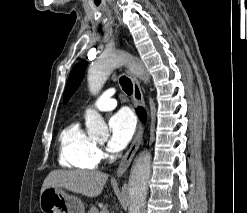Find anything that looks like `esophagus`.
<instances>
[{
  "label": "esophagus",
  "instance_id": "obj_1",
  "mask_svg": "<svg viewBox=\"0 0 247 213\" xmlns=\"http://www.w3.org/2000/svg\"><path fill=\"white\" fill-rule=\"evenodd\" d=\"M127 73L133 84V99H134L135 105L144 106L145 104L144 96H143L138 80L130 71H128ZM142 136H143V128H142V125L140 124L134 136L131 146L129 147L125 155L123 156L120 162V165L117 169L116 175L118 177L122 176L126 172L128 167L130 166V163L142 142Z\"/></svg>",
  "mask_w": 247,
  "mask_h": 213
}]
</instances>
